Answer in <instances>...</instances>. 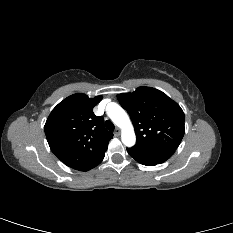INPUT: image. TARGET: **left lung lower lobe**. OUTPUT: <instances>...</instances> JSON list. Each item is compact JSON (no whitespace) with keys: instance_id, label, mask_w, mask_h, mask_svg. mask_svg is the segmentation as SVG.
Masks as SVG:
<instances>
[{"instance_id":"left-lung-lower-lobe-1","label":"left lung lower lobe","mask_w":233,"mask_h":233,"mask_svg":"<svg viewBox=\"0 0 233 233\" xmlns=\"http://www.w3.org/2000/svg\"><path fill=\"white\" fill-rule=\"evenodd\" d=\"M129 155L143 165L154 166L169 159L175 151L134 146L127 148Z\"/></svg>"}]
</instances>
